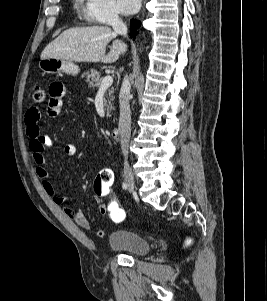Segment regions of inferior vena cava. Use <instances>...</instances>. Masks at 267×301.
Listing matches in <instances>:
<instances>
[{
  "instance_id": "602c4592",
  "label": "inferior vena cava",
  "mask_w": 267,
  "mask_h": 301,
  "mask_svg": "<svg viewBox=\"0 0 267 301\" xmlns=\"http://www.w3.org/2000/svg\"><path fill=\"white\" fill-rule=\"evenodd\" d=\"M111 25L114 32L121 34L123 36L127 35V26L114 14L111 18ZM131 85L129 78L126 75L123 79L122 86L119 94V104H120V119H119V130H120V142L123 156L125 162L128 158V146L131 135V111L129 105V95H130Z\"/></svg>"
}]
</instances>
